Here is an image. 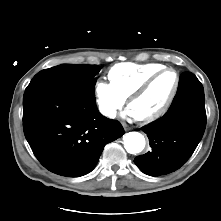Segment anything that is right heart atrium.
Returning <instances> with one entry per match:
<instances>
[{"label":"right heart atrium","mask_w":221,"mask_h":221,"mask_svg":"<svg viewBox=\"0 0 221 221\" xmlns=\"http://www.w3.org/2000/svg\"><path fill=\"white\" fill-rule=\"evenodd\" d=\"M94 95L100 113L107 119H114L125 103L112 84L103 80L96 81Z\"/></svg>","instance_id":"obj_1"}]
</instances>
